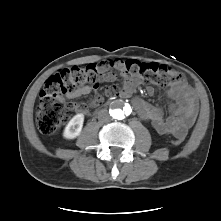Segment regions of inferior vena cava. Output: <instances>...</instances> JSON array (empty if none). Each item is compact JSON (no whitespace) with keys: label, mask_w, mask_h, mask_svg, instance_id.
I'll return each instance as SVG.
<instances>
[{"label":"inferior vena cava","mask_w":221,"mask_h":221,"mask_svg":"<svg viewBox=\"0 0 221 221\" xmlns=\"http://www.w3.org/2000/svg\"><path fill=\"white\" fill-rule=\"evenodd\" d=\"M98 119L102 122H109L111 118L107 112H101L98 116Z\"/></svg>","instance_id":"obj_1"}]
</instances>
